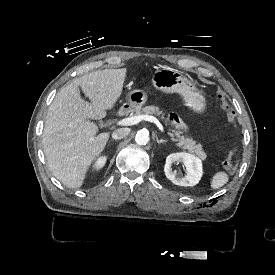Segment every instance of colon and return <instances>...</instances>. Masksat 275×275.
Masks as SVG:
<instances>
[{"label": "colon", "mask_w": 275, "mask_h": 275, "mask_svg": "<svg viewBox=\"0 0 275 275\" xmlns=\"http://www.w3.org/2000/svg\"><path fill=\"white\" fill-rule=\"evenodd\" d=\"M218 99H219L220 107L224 109L227 113L228 120L230 121V123H232L235 126V128H237L239 123H238V117H237L236 111L232 107H230L228 101L222 94L218 95ZM237 162H238V158L236 156V151H235L224 161L225 169L228 170L229 172L234 171L237 165Z\"/></svg>", "instance_id": "5ec220e1"}]
</instances>
